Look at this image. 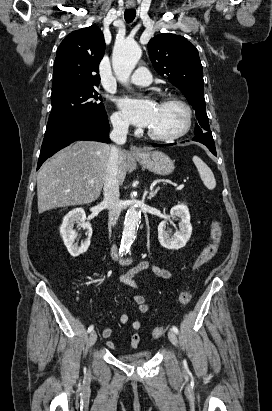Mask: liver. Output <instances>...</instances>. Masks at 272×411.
Instances as JSON below:
<instances>
[{
	"mask_svg": "<svg viewBox=\"0 0 272 411\" xmlns=\"http://www.w3.org/2000/svg\"><path fill=\"white\" fill-rule=\"evenodd\" d=\"M110 147L94 141H77L45 162L37 176L38 212L89 204L101 193ZM127 153L119 155V184L127 170Z\"/></svg>",
	"mask_w": 272,
	"mask_h": 411,
	"instance_id": "obj_1",
	"label": "liver"
}]
</instances>
